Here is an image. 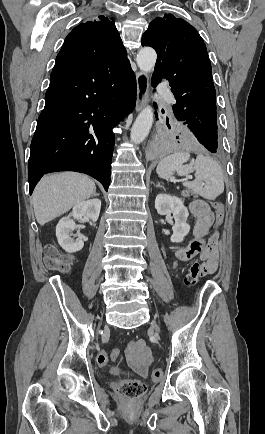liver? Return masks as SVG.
Listing matches in <instances>:
<instances>
[{
  "label": "liver",
  "instance_id": "obj_1",
  "mask_svg": "<svg viewBox=\"0 0 265 434\" xmlns=\"http://www.w3.org/2000/svg\"><path fill=\"white\" fill-rule=\"evenodd\" d=\"M95 192L94 180L84 174L63 172L44 176L32 196L35 218L40 226H44L79 202L88 200Z\"/></svg>",
  "mask_w": 265,
  "mask_h": 434
}]
</instances>
